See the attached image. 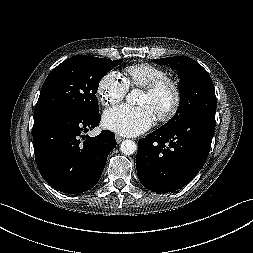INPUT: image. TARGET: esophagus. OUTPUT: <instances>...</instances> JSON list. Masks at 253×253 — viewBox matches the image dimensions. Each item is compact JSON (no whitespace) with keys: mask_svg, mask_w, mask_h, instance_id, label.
<instances>
[{"mask_svg":"<svg viewBox=\"0 0 253 253\" xmlns=\"http://www.w3.org/2000/svg\"><path fill=\"white\" fill-rule=\"evenodd\" d=\"M115 138H116L117 143H120L123 140V138L119 135H116Z\"/></svg>","mask_w":253,"mask_h":253,"instance_id":"obj_1","label":"esophagus"}]
</instances>
